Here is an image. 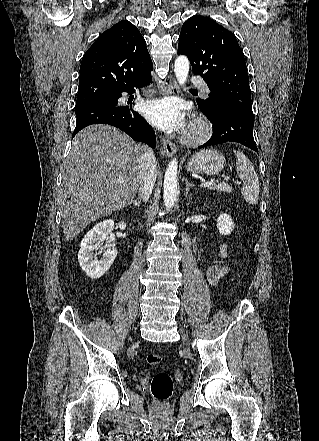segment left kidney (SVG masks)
<instances>
[{
  "instance_id": "obj_1",
  "label": "left kidney",
  "mask_w": 319,
  "mask_h": 441,
  "mask_svg": "<svg viewBox=\"0 0 319 441\" xmlns=\"http://www.w3.org/2000/svg\"><path fill=\"white\" fill-rule=\"evenodd\" d=\"M217 228L222 235H230L234 229V222L230 215L221 214L217 219Z\"/></svg>"
}]
</instances>
